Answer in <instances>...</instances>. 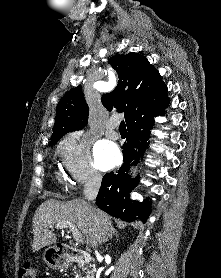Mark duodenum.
<instances>
[{"label":"duodenum","mask_w":221,"mask_h":278,"mask_svg":"<svg viewBox=\"0 0 221 278\" xmlns=\"http://www.w3.org/2000/svg\"><path fill=\"white\" fill-rule=\"evenodd\" d=\"M57 250L59 254L63 256L62 258L65 259L68 263L74 261H86V255L81 249L74 248L65 244H60L58 245Z\"/></svg>","instance_id":"duodenum-1"}]
</instances>
